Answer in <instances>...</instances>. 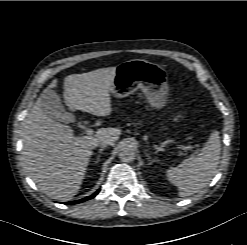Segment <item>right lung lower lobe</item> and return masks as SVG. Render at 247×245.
<instances>
[{"label": "right lung lower lobe", "mask_w": 247, "mask_h": 245, "mask_svg": "<svg viewBox=\"0 0 247 245\" xmlns=\"http://www.w3.org/2000/svg\"><path fill=\"white\" fill-rule=\"evenodd\" d=\"M100 189L97 190L93 195L91 196H88L86 198H83V199H80V200H77V201H71V202H67L65 204H76V203H80V202H84L86 200H89V199H92L93 197H95L98 193H99Z\"/></svg>", "instance_id": "98d812e1"}]
</instances>
